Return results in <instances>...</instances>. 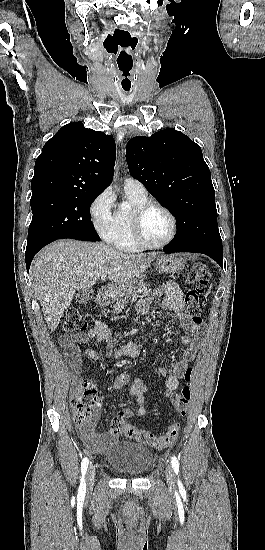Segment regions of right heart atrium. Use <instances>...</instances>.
I'll return each mask as SVG.
<instances>
[{"instance_id":"1","label":"right heart atrium","mask_w":265,"mask_h":550,"mask_svg":"<svg viewBox=\"0 0 265 550\" xmlns=\"http://www.w3.org/2000/svg\"><path fill=\"white\" fill-rule=\"evenodd\" d=\"M90 219L95 231L108 239L113 227V197L109 190H104L92 201L89 209Z\"/></svg>"}]
</instances>
